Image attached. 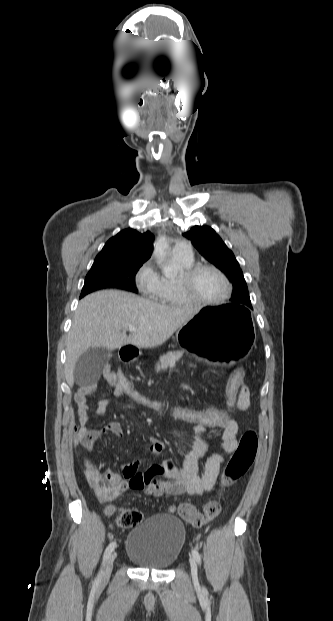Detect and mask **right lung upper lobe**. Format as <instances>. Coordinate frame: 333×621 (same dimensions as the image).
I'll return each mask as SVG.
<instances>
[{"instance_id":"right-lung-upper-lobe-1","label":"right lung upper lobe","mask_w":333,"mask_h":621,"mask_svg":"<svg viewBox=\"0 0 333 621\" xmlns=\"http://www.w3.org/2000/svg\"><path fill=\"white\" fill-rule=\"evenodd\" d=\"M154 235L125 229L110 238L94 262L135 261L145 262L151 257Z\"/></svg>"}]
</instances>
